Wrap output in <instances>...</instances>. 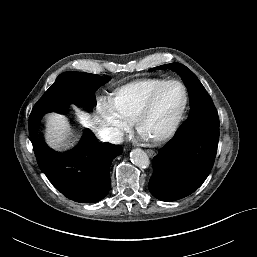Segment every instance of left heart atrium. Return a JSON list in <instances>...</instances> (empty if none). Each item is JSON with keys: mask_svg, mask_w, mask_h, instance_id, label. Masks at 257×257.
<instances>
[{"mask_svg": "<svg viewBox=\"0 0 257 257\" xmlns=\"http://www.w3.org/2000/svg\"><path fill=\"white\" fill-rule=\"evenodd\" d=\"M140 134V133H139ZM140 137L142 138V139H145V137L142 135V134H140Z\"/></svg>", "mask_w": 257, "mask_h": 257, "instance_id": "obj_1", "label": "left heart atrium"}]
</instances>
